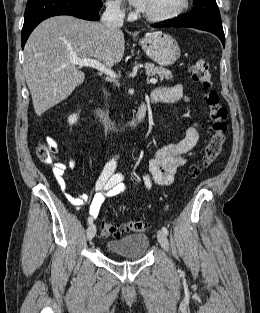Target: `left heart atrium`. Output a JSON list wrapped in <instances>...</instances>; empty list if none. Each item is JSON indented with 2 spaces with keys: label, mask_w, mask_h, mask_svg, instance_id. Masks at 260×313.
<instances>
[{
  "label": "left heart atrium",
  "mask_w": 260,
  "mask_h": 313,
  "mask_svg": "<svg viewBox=\"0 0 260 313\" xmlns=\"http://www.w3.org/2000/svg\"><path fill=\"white\" fill-rule=\"evenodd\" d=\"M136 8L143 10L146 0H129Z\"/></svg>",
  "instance_id": "left-heart-atrium-1"
}]
</instances>
